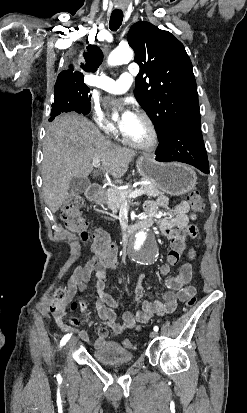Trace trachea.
<instances>
[{"label": "trachea", "mask_w": 247, "mask_h": 413, "mask_svg": "<svg viewBox=\"0 0 247 413\" xmlns=\"http://www.w3.org/2000/svg\"><path fill=\"white\" fill-rule=\"evenodd\" d=\"M122 21L123 13L121 11L113 12L109 22L110 29L115 32L120 27Z\"/></svg>", "instance_id": "obj_1"}]
</instances>
